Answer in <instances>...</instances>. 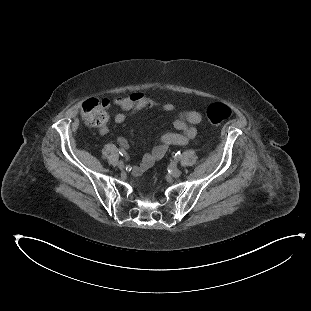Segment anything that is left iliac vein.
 Instances as JSON below:
<instances>
[{"mask_svg": "<svg viewBox=\"0 0 311 311\" xmlns=\"http://www.w3.org/2000/svg\"><path fill=\"white\" fill-rule=\"evenodd\" d=\"M171 175H172V177H174V178H178V177L181 175V171H180L178 168H174V169L171 171Z\"/></svg>", "mask_w": 311, "mask_h": 311, "instance_id": "left-iliac-vein-1", "label": "left iliac vein"}]
</instances>
